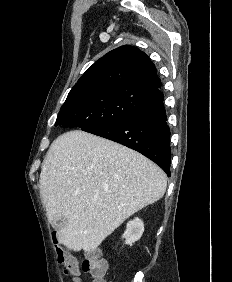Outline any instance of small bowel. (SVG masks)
Listing matches in <instances>:
<instances>
[{"mask_svg":"<svg viewBox=\"0 0 232 282\" xmlns=\"http://www.w3.org/2000/svg\"><path fill=\"white\" fill-rule=\"evenodd\" d=\"M74 282H81V281H80L79 277H77V278L74 277Z\"/></svg>","mask_w":232,"mask_h":282,"instance_id":"obj_1","label":"small bowel"}]
</instances>
